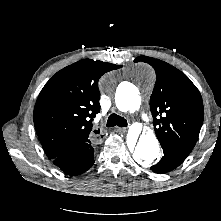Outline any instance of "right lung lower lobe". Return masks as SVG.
Returning a JSON list of instances; mask_svg holds the SVG:
<instances>
[{
  "mask_svg": "<svg viewBox=\"0 0 221 221\" xmlns=\"http://www.w3.org/2000/svg\"><path fill=\"white\" fill-rule=\"evenodd\" d=\"M53 163L69 175H78L87 171L94 163L92 140L82 143L54 158Z\"/></svg>",
  "mask_w": 221,
  "mask_h": 221,
  "instance_id": "right-lung-lower-lobe-1",
  "label": "right lung lower lobe"
}]
</instances>
